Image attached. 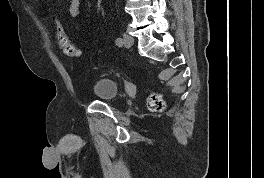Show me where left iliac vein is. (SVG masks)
I'll use <instances>...</instances> for the list:
<instances>
[{
	"label": "left iliac vein",
	"mask_w": 264,
	"mask_h": 178,
	"mask_svg": "<svg viewBox=\"0 0 264 178\" xmlns=\"http://www.w3.org/2000/svg\"><path fill=\"white\" fill-rule=\"evenodd\" d=\"M123 43H124V45H125L127 48H129V47H131V46L133 45V43H134V39H133L132 36H130L129 34L125 33V34L123 35Z\"/></svg>",
	"instance_id": "1"
}]
</instances>
